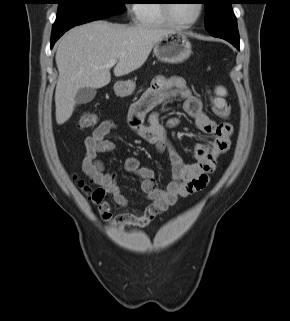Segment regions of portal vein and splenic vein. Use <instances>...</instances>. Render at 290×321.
Here are the masks:
<instances>
[{"label": "portal vein and splenic vein", "mask_w": 290, "mask_h": 321, "mask_svg": "<svg viewBox=\"0 0 290 321\" xmlns=\"http://www.w3.org/2000/svg\"><path fill=\"white\" fill-rule=\"evenodd\" d=\"M117 63V60L112 59L108 62L107 67H113Z\"/></svg>", "instance_id": "portal-vein-and-splenic-vein-1"}]
</instances>
